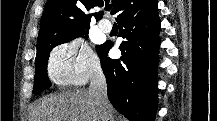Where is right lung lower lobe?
Listing matches in <instances>:
<instances>
[{
	"label": "right lung lower lobe",
	"mask_w": 217,
	"mask_h": 121,
	"mask_svg": "<svg viewBox=\"0 0 217 121\" xmlns=\"http://www.w3.org/2000/svg\"><path fill=\"white\" fill-rule=\"evenodd\" d=\"M116 18L125 38L118 60L108 57L113 43L105 42L99 57L107 80L108 98L115 109L131 121H154L156 67L160 45L157 0H130Z\"/></svg>",
	"instance_id": "98d812e1"
}]
</instances>
